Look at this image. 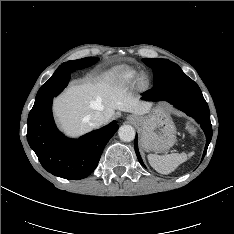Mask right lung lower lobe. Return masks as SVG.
Returning a JSON list of instances; mask_svg holds the SVG:
<instances>
[{"label":"right lung lower lobe","mask_w":234,"mask_h":234,"mask_svg":"<svg viewBox=\"0 0 234 234\" xmlns=\"http://www.w3.org/2000/svg\"><path fill=\"white\" fill-rule=\"evenodd\" d=\"M69 71H55L39 89L28 116L27 140L43 168L65 179H82L97 167L104 147L118 130L116 121L79 139L66 138L52 116V101L68 84Z\"/></svg>","instance_id":"right-lung-lower-lobe-1"}]
</instances>
